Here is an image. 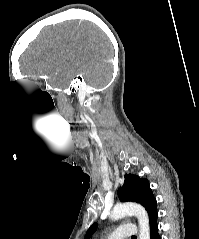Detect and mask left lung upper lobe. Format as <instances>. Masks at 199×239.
Masks as SVG:
<instances>
[{"instance_id": "left-lung-upper-lobe-1", "label": "left lung upper lobe", "mask_w": 199, "mask_h": 239, "mask_svg": "<svg viewBox=\"0 0 199 239\" xmlns=\"http://www.w3.org/2000/svg\"><path fill=\"white\" fill-rule=\"evenodd\" d=\"M118 196L122 202H136L143 205L148 212L149 219L157 212V201L147 179L133 174H126L124 176V184L118 190ZM96 229L97 223H94L88 229L85 239H89Z\"/></svg>"}]
</instances>
